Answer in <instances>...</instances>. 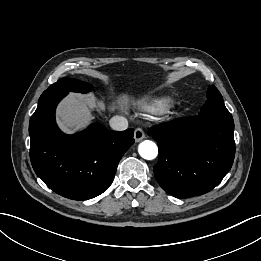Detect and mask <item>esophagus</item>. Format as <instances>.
I'll return each mask as SVG.
<instances>
[{"instance_id": "34e87169", "label": "esophagus", "mask_w": 261, "mask_h": 261, "mask_svg": "<svg viewBox=\"0 0 261 261\" xmlns=\"http://www.w3.org/2000/svg\"><path fill=\"white\" fill-rule=\"evenodd\" d=\"M145 138V133L141 128H136L134 131V139L136 142H140Z\"/></svg>"}]
</instances>
